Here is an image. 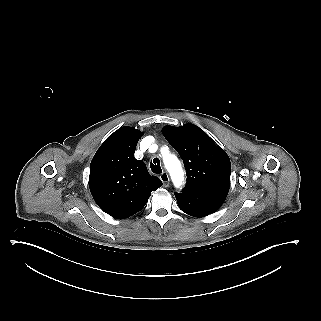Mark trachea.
<instances>
[{"label": "trachea", "instance_id": "trachea-1", "mask_svg": "<svg viewBox=\"0 0 321 321\" xmlns=\"http://www.w3.org/2000/svg\"><path fill=\"white\" fill-rule=\"evenodd\" d=\"M151 171L155 174H160L162 172L160 161L158 158H154L153 161L150 163Z\"/></svg>", "mask_w": 321, "mask_h": 321}]
</instances>
